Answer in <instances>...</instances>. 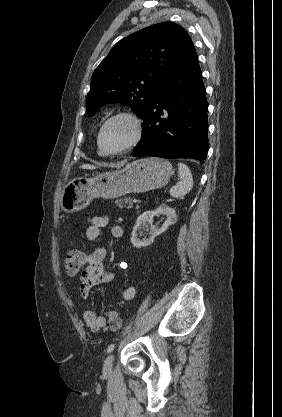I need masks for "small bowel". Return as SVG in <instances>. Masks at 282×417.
Here are the masks:
<instances>
[{"label": "small bowel", "mask_w": 282, "mask_h": 417, "mask_svg": "<svg viewBox=\"0 0 282 417\" xmlns=\"http://www.w3.org/2000/svg\"><path fill=\"white\" fill-rule=\"evenodd\" d=\"M86 237L90 241H96L100 236V229L108 224L106 215L89 216L86 219ZM110 233L113 238L119 239L123 237L124 231L120 225H112ZM107 251L104 247H96L85 257L86 266L82 270L79 279V296L86 300L89 298L92 289L100 284L108 283L113 280L114 273L104 264ZM136 295V288L134 286L126 287L121 297L125 301L132 300ZM83 319L88 328L97 332L101 329L107 328L103 325L104 316H97L93 311L86 310L83 313Z\"/></svg>", "instance_id": "obj_1"}]
</instances>
